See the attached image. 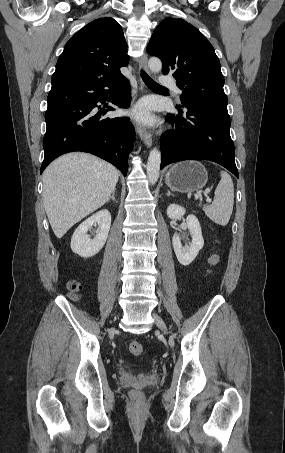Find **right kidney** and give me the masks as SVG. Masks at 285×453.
Returning a JSON list of instances; mask_svg holds the SVG:
<instances>
[{"instance_id": "1", "label": "right kidney", "mask_w": 285, "mask_h": 453, "mask_svg": "<svg viewBox=\"0 0 285 453\" xmlns=\"http://www.w3.org/2000/svg\"><path fill=\"white\" fill-rule=\"evenodd\" d=\"M93 225L98 226L96 236L91 239L87 232ZM111 226V214L103 209L82 222L71 238V249L81 257L89 258L96 255L104 246Z\"/></svg>"}]
</instances>
